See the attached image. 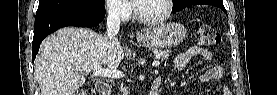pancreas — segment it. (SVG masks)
Masks as SVG:
<instances>
[{"label":"pancreas","mask_w":277,"mask_h":95,"mask_svg":"<svg viewBox=\"0 0 277 95\" xmlns=\"http://www.w3.org/2000/svg\"><path fill=\"white\" fill-rule=\"evenodd\" d=\"M169 53H170V50H155L154 51L156 59H158V60L167 59L169 57ZM120 90H121V92H126L127 88L124 87V88H121Z\"/></svg>","instance_id":"obj_1"}]
</instances>
